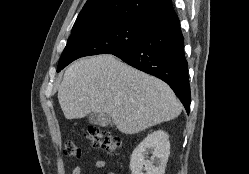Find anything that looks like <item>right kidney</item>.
Segmentation results:
<instances>
[{"label": "right kidney", "mask_w": 249, "mask_h": 174, "mask_svg": "<svg viewBox=\"0 0 249 174\" xmlns=\"http://www.w3.org/2000/svg\"><path fill=\"white\" fill-rule=\"evenodd\" d=\"M152 150L150 160H145L144 154ZM170 154L169 135L164 131H155L149 134L133 151L130 159L132 174H164ZM156 160L157 165H154Z\"/></svg>", "instance_id": "1"}]
</instances>
